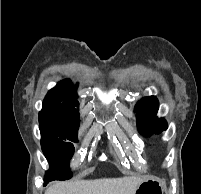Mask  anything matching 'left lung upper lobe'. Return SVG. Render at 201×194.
<instances>
[{"instance_id": "1", "label": "left lung upper lobe", "mask_w": 201, "mask_h": 194, "mask_svg": "<svg viewBox=\"0 0 201 194\" xmlns=\"http://www.w3.org/2000/svg\"><path fill=\"white\" fill-rule=\"evenodd\" d=\"M159 108L158 99L155 96L141 99L135 106L137 126L141 134H160L167 129V122L163 118H157Z\"/></svg>"}]
</instances>
